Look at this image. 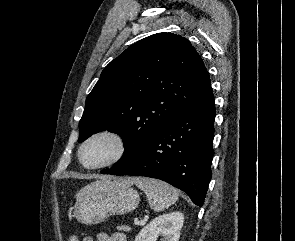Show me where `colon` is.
Segmentation results:
<instances>
[{"label":"colon","mask_w":295,"mask_h":241,"mask_svg":"<svg viewBox=\"0 0 295 241\" xmlns=\"http://www.w3.org/2000/svg\"><path fill=\"white\" fill-rule=\"evenodd\" d=\"M69 241H78V240H77V238H75V237H71V238L69 239Z\"/></svg>","instance_id":"5ec220e1"}]
</instances>
